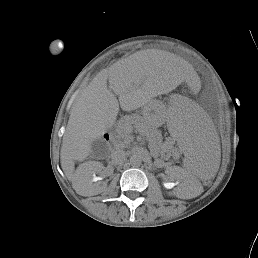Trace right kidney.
Here are the masks:
<instances>
[{
	"instance_id": "ca27d5eb",
	"label": "right kidney",
	"mask_w": 258,
	"mask_h": 258,
	"mask_svg": "<svg viewBox=\"0 0 258 258\" xmlns=\"http://www.w3.org/2000/svg\"><path fill=\"white\" fill-rule=\"evenodd\" d=\"M92 176H93V177H92ZM92 176H91V177H92L91 179L89 178V179L87 180V183H88V184H92V182H95V181H97V180H101V178H100V177H96L94 173L92 174ZM98 183H100V182H98ZM101 184H102V185L99 187V189H96V190H93V191H92V193H91L92 195L98 194V193H100V192L103 191V189L105 188L106 184H105V182H102ZM93 185H96V184H93Z\"/></svg>"
}]
</instances>
